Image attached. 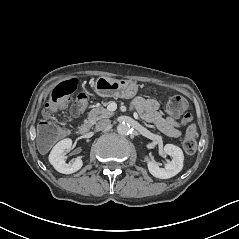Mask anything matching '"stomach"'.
I'll use <instances>...</instances> for the list:
<instances>
[{
    "label": "stomach",
    "instance_id": "1",
    "mask_svg": "<svg viewBox=\"0 0 239 239\" xmlns=\"http://www.w3.org/2000/svg\"><path fill=\"white\" fill-rule=\"evenodd\" d=\"M94 91L101 97L133 98L138 91V85L132 80H118L111 77L97 78Z\"/></svg>",
    "mask_w": 239,
    "mask_h": 239
}]
</instances>
